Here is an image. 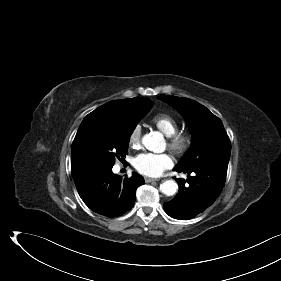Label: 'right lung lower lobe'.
Masks as SVG:
<instances>
[{
	"label": "right lung lower lobe",
	"mask_w": 281,
	"mask_h": 281,
	"mask_svg": "<svg viewBox=\"0 0 281 281\" xmlns=\"http://www.w3.org/2000/svg\"><path fill=\"white\" fill-rule=\"evenodd\" d=\"M112 167L89 169L73 177L84 203L92 211L108 217L130 210L136 199V189L145 183L137 173H133L131 178L122 179L113 174Z\"/></svg>",
	"instance_id": "1"
}]
</instances>
